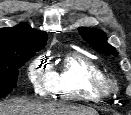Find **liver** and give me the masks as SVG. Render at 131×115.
Listing matches in <instances>:
<instances>
[{
	"label": "liver",
	"instance_id": "liver-1",
	"mask_svg": "<svg viewBox=\"0 0 131 115\" xmlns=\"http://www.w3.org/2000/svg\"><path fill=\"white\" fill-rule=\"evenodd\" d=\"M0 115H98L92 108L64 104H42L25 99L0 102Z\"/></svg>",
	"mask_w": 131,
	"mask_h": 115
}]
</instances>
